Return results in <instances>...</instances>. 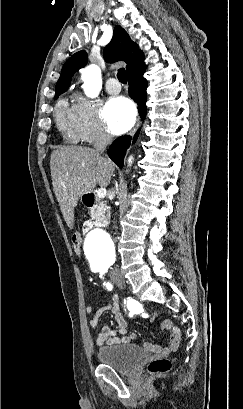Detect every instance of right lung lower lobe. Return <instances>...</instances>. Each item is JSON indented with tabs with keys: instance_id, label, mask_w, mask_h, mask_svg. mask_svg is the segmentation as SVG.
I'll use <instances>...</instances> for the list:
<instances>
[{
	"instance_id": "1",
	"label": "right lung lower lobe",
	"mask_w": 243,
	"mask_h": 409,
	"mask_svg": "<svg viewBox=\"0 0 243 409\" xmlns=\"http://www.w3.org/2000/svg\"><path fill=\"white\" fill-rule=\"evenodd\" d=\"M143 72L133 75L128 78L129 83V95L133 98L139 106V112L144 119L146 115V100H147V80L143 77ZM137 132L134 136L133 141H136L138 137ZM131 137L122 136L116 139L109 147L108 154L109 157L120 167H123V159L127 148L130 146Z\"/></svg>"
}]
</instances>
